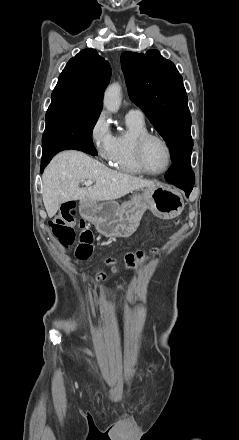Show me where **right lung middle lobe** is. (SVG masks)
Masks as SVG:
<instances>
[{
    "instance_id": "1",
    "label": "right lung middle lobe",
    "mask_w": 239,
    "mask_h": 440,
    "mask_svg": "<svg viewBox=\"0 0 239 440\" xmlns=\"http://www.w3.org/2000/svg\"><path fill=\"white\" fill-rule=\"evenodd\" d=\"M99 115V112L80 111L66 106H49L42 137L43 153L71 141L93 145L92 131Z\"/></svg>"
}]
</instances>
